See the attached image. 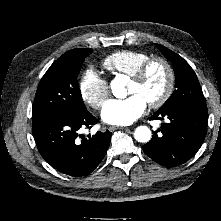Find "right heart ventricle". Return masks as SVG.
<instances>
[{
	"mask_svg": "<svg viewBox=\"0 0 221 221\" xmlns=\"http://www.w3.org/2000/svg\"><path fill=\"white\" fill-rule=\"evenodd\" d=\"M150 56L134 50H121L108 55L102 62L105 69L114 74L131 76Z\"/></svg>",
	"mask_w": 221,
	"mask_h": 221,
	"instance_id": "e07e8e85",
	"label": "right heart ventricle"
}]
</instances>
